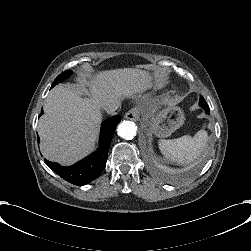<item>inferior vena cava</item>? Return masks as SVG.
<instances>
[{
  "instance_id": "1",
  "label": "inferior vena cava",
  "mask_w": 251,
  "mask_h": 251,
  "mask_svg": "<svg viewBox=\"0 0 251 251\" xmlns=\"http://www.w3.org/2000/svg\"><path fill=\"white\" fill-rule=\"evenodd\" d=\"M120 108L121 104L118 101H111L103 105V109L110 115H115Z\"/></svg>"
}]
</instances>
